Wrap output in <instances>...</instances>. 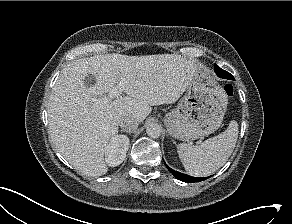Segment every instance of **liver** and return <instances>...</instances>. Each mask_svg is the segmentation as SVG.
<instances>
[{"label": "liver", "instance_id": "liver-1", "mask_svg": "<svg viewBox=\"0 0 292 224\" xmlns=\"http://www.w3.org/2000/svg\"><path fill=\"white\" fill-rule=\"evenodd\" d=\"M197 67L194 60L178 54L114 53L71 62L61 71L48 103L50 135L56 149L84 175L106 174L104 155L118 135L119 118L131 116L143 122L151 106L174 103ZM90 75L94 84L87 82ZM121 81L126 82L123 91L127 96L110 99L108 93ZM96 98L102 100L94 104Z\"/></svg>", "mask_w": 292, "mask_h": 224}]
</instances>
